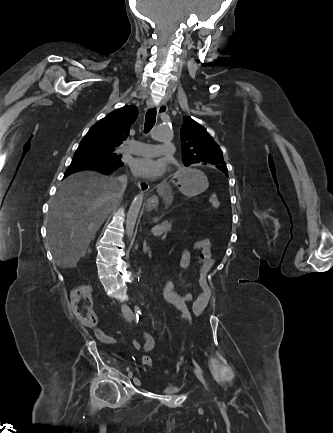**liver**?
Segmentation results:
<instances>
[{
    "instance_id": "6515ba94",
    "label": "liver",
    "mask_w": 333,
    "mask_h": 433,
    "mask_svg": "<svg viewBox=\"0 0 333 433\" xmlns=\"http://www.w3.org/2000/svg\"><path fill=\"white\" fill-rule=\"evenodd\" d=\"M159 188L166 192V201L174 199L170 183ZM121 196L116 178L95 171L74 173L59 185L47 217L48 242L57 266H77Z\"/></svg>"
}]
</instances>
